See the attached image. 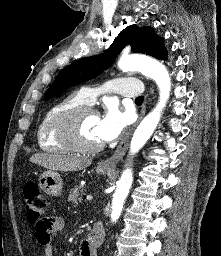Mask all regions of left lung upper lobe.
<instances>
[{"mask_svg":"<svg viewBox=\"0 0 221 256\" xmlns=\"http://www.w3.org/2000/svg\"><path fill=\"white\" fill-rule=\"evenodd\" d=\"M127 45H131V50L136 53L162 60L167 57L163 39L154 33L153 28L130 25L120 32L105 54L80 59L64 68L47 90L44 100H49L79 82L96 77L113 63L119 52Z\"/></svg>","mask_w":221,"mask_h":256,"instance_id":"left-lung-upper-lobe-1","label":"left lung upper lobe"}]
</instances>
